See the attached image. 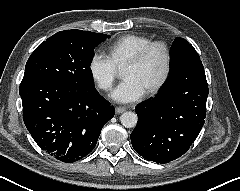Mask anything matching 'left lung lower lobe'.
I'll return each instance as SVG.
<instances>
[{
	"mask_svg": "<svg viewBox=\"0 0 240 191\" xmlns=\"http://www.w3.org/2000/svg\"><path fill=\"white\" fill-rule=\"evenodd\" d=\"M183 64L154 98L136 107L138 124L131 133L135 151L156 163L185 154L205 122L209 93L204 68Z\"/></svg>",
	"mask_w": 240,
	"mask_h": 191,
	"instance_id": "obj_1",
	"label": "left lung lower lobe"
}]
</instances>
